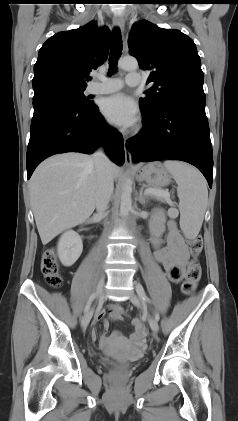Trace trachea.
Listing matches in <instances>:
<instances>
[{
  "label": "trachea",
  "mask_w": 238,
  "mask_h": 421,
  "mask_svg": "<svg viewBox=\"0 0 238 421\" xmlns=\"http://www.w3.org/2000/svg\"><path fill=\"white\" fill-rule=\"evenodd\" d=\"M122 53V36L119 28H114L111 39V49L109 56V73L116 71V64Z\"/></svg>",
  "instance_id": "3493384b"
}]
</instances>
